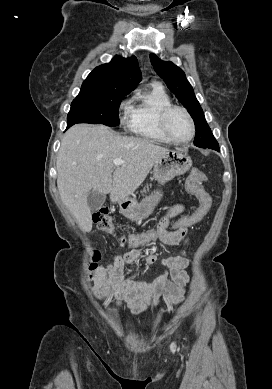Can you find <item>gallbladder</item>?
<instances>
[{"label":"gallbladder","instance_id":"bac80fb5","mask_svg":"<svg viewBox=\"0 0 272 389\" xmlns=\"http://www.w3.org/2000/svg\"><path fill=\"white\" fill-rule=\"evenodd\" d=\"M106 200V195L92 190L87 198V204L91 212L98 211Z\"/></svg>","mask_w":272,"mask_h":389}]
</instances>
